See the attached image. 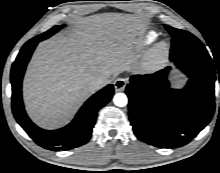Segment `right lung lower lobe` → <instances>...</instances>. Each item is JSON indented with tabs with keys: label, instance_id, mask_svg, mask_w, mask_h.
I'll list each match as a JSON object with an SVG mask.
<instances>
[{
	"label": "right lung lower lobe",
	"instance_id": "1",
	"mask_svg": "<svg viewBox=\"0 0 220 173\" xmlns=\"http://www.w3.org/2000/svg\"><path fill=\"white\" fill-rule=\"evenodd\" d=\"M39 41L41 39L34 37L25 43L11 68L12 110L14 117L25 132L45 149L59 151L84 145L91 137L97 112L113 96V85L109 84L94 94L82 106L68 126L54 131H47L37 127L25 113L21 95V83L26 65Z\"/></svg>",
	"mask_w": 220,
	"mask_h": 173
}]
</instances>
